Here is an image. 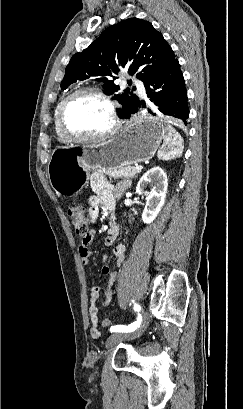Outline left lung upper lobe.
Masks as SVG:
<instances>
[{"label":"left lung upper lobe","mask_w":243,"mask_h":409,"mask_svg":"<svg viewBox=\"0 0 243 409\" xmlns=\"http://www.w3.org/2000/svg\"><path fill=\"white\" fill-rule=\"evenodd\" d=\"M175 59L170 45L150 22L130 18L106 28L88 48L72 56L61 88L65 89L77 80H100L104 83L105 93L113 95L122 104L120 117H123L139 99L129 88L118 93L120 88L113 80L121 69H128L130 75L137 74L146 83ZM128 84L131 85V81Z\"/></svg>","instance_id":"left-lung-upper-lobe-1"}]
</instances>
